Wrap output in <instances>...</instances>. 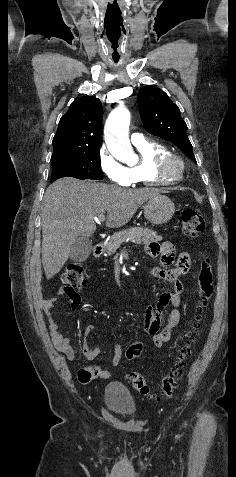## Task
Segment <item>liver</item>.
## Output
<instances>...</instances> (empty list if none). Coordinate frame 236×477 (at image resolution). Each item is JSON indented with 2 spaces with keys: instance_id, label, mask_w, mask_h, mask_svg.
I'll return each instance as SVG.
<instances>
[{
  "instance_id": "liver-1",
  "label": "liver",
  "mask_w": 236,
  "mask_h": 477,
  "mask_svg": "<svg viewBox=\"0 0 236 477\" xmlns=\"http://www.w3.org/2000/svg\"><path fill=\"white\" fill-rule=\"evenodd\" d=\"M165 192L158 188L126 189L74 178H62L51 184L41 208L42 264L46 278L60 272L78 236H92L96 231V216L107 212L106 226L119 228L146 201Z\"/></svg>"
}]
</instances>
